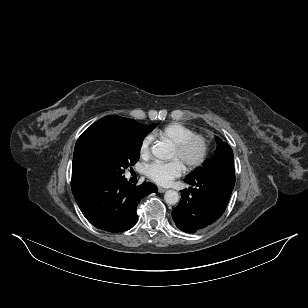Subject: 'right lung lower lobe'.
Segmentation results:
<instances>
[{"label":"right lung lower lobe","mask_w":308,"mask_h":308,"mask_svg":"<svg viewBox=\"0 0 308 308\" xmlns=\"http://www.w3.org/2000/svg\"><path fill=\"white\" fill-rule=\"evenodd\" d=\"M156 191L157 187L150 182L135 186L127 183L123 176L97 178L73 191V195L81 212L92 225L109 232H121L136 224L139 201Z\"/></svg>","instance_id":"98d812e1"}]
</instances>
